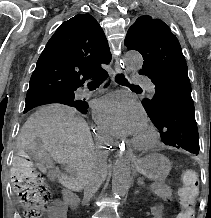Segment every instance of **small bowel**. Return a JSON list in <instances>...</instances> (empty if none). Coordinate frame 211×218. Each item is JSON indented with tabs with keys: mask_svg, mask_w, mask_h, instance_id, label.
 I'll return each instance as SVG.
<instances>
[{
	"mask_svg": "<svg viewBox=\"0 0 211 218\" xmlns=\"http://www.w3.org/2000/svg\"><path fill=\"white\" fill-rule=\"evenodd\" d=\"M51 216H56L58 213H56L55 208H51L50 210ZM151 216L152 218H163V207L161 205H156L151 209Z\"/></svg>",
	"mask_w": 211,
	"mask_h": 218,
	"instance_id": "1",
	"label": "small bowel"
}]
</instances>
